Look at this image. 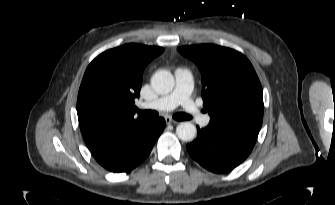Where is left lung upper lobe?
Instances as JSON below:
<instances>
[{
  "label": "left lung upper lobe",
  "mask_w": 335,
  "mask_h": 205,
  "mask_svg": "<svg viewBox=\"0 0 335 205\" xmlns=\"http://www.w3.org/2000/svg\"><path fill=\"white\" fill-rule=\"evenodd\" d=\"M177 50L200 69L203 105L210 123L257 139L264 105L262 87L250 61L240 52L214 44Z\"/></svg>",
  "instance_id": "obj_1"
}]
</instances>
